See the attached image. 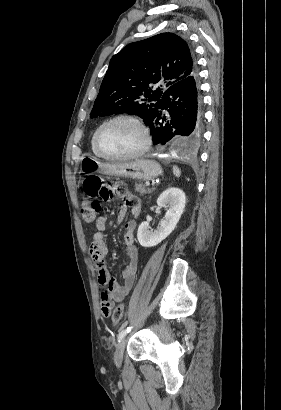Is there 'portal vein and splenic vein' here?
Returning a JSON list of instances; mask_svg holds the SVG:
<instances>
[{
    "label": "portal vein and splenic vein",
    "mask_w": 281,
    "mask_h": 410,
    "mask_svg": "<svg viewBox=\"0 0 281 410\" xmlns=\"http://www.w3.org/2000/svg\"><path fill=\"white\" fill-rule=\"evenodd\" d=\"M150 185V183L149 182H146V186H149Z\"/></svg>",
    "instance_id": "portal-vein-and-splenic-vein-1"
}]
</instances>
